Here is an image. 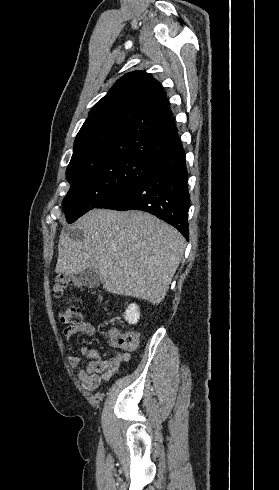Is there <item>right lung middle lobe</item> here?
Wrapping results in <instances>:
<instances>
[{
  "instance_id": "obj_1",
  "label": "right lung middle lobe",
  "mask_w": 279,
  "mask_h": 490,
  "mask_svg": "<svg viewBox=\"0 0 279 490\" xmlns=\"http://www.w3.org/2000/svg\"><path fill=\"white\" fill-rule=\"evenodd\" d=\"M153 166L128 158L93 161L67 173L70 190L63 200L68 223H73L113 192L143 177Z\"/></svg>"
}]
</instances>
